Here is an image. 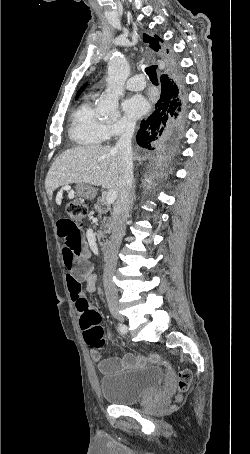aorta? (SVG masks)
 <instances>
[{
	"instance_id": "obj_1",
	"label": "aorta",
	"mask_w": 250,
	"mask_h": 454,
	"mask_svg": "<svg viewBox=\"0 0 250 454\" xmlns=\"http://www.w3.org/2000/svg\"><path fill=\"white\" fill-rule=\"evenodd\" d=\"M130 75V66L125 57L116 55L108 63L107 88L97 104V111L107 117H117L119 99L124 84Z\"/></svg>"
}]
</instances>
